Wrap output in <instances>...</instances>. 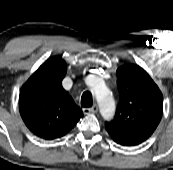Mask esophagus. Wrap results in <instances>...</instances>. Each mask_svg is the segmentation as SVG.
Returning a JSON list of instances; mask_svg holds the SVG:
<instances>
[{"instance_id":"obj_1","label":"esophagus","mask_w":173,"mask_h":170,"mask_svg":"<svg viewBox=\"0 0 173 170\" xmlns=\"http://www.w3.org/2000/svg\"><path fill=\"white\" fill-rule=\"evenodd\" d=\"M98 111V106L95 104L91 108H83V113L88 114V113H96Z\"/></svg>"}]
</instances>
